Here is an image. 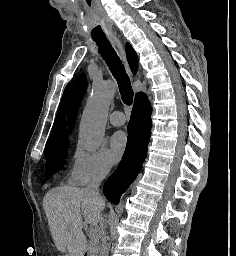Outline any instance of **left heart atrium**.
Segmentation results:
<instances>
[{
	"label": "left heart atrium",
	"mask_w": 236,
	"mask_h": 256,
	"mask_svg": "<svg viewBox=\"0 0 236 256\" xmlns=\"http://www.w3.org/2000/svg\"><path fill=\"white\" fill-rule=\"evenodd\" d=\"M128 144L127 135L124 132L115 133L110 140L109 156L116 163L123 157Z\"/></svg>",
	"instance_id": "obj_1"
}]
</instances>
